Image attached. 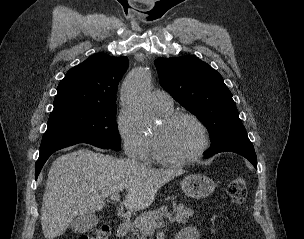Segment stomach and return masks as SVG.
Returning <instances> with one entry per match:
<instances>
[{
    "label": "stomach",
    "instance_id": "0dacf381",
    "mask_svg": "<svg viewBox=\"0 0 304 239\" xmlns=\"http://www.w3.org/2000/svg\"><path fill=\"white\" fill-rule=\"evenodd\" d=\"M181 188L187 196L200 199L213 192L215 183L205 175L189 174L182 180Z\"/></svg>",
    "mask_w": 304,
    "mask_h": 239
}]
</instances>
